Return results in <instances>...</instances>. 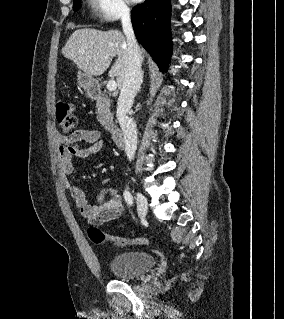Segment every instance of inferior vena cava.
Returning <instances> with one entry per match:
<instances>
[{
  "label": "inferior vena cava",
  "instance_id": "602c4592",
  "mask_svg": "<svg viewBox=\"0 0 284 319\" xmlns=\"http://www.w3.org/2000/svg\"><path fill=\"white\" fill-rule=\"evenodd\" d=\"M121 22L127 41L129 61L117 102V119L124 134L125 153L131 161L137 149V129L134 121L128 116V112L133 105L134 98L143 80L142 57L134 35L128 9L122 10Z\"/></svg>",
  "mask_w": 284,
  "mask_h": 319
}]
</instances>
